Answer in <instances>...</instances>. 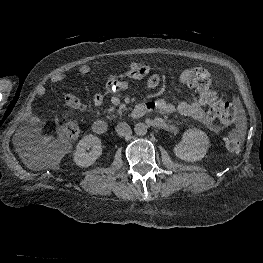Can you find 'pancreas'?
Returning a JSON list of instances; mask_svg holds the SVG:
<instances>
[{
	"instance_id": "cf45deb5",
	"label": "pancreas",
	"mask_w": 263,
	"mask_h": 263,
	"mask_svg": "<svg viewBox=\"0 0 263 263\" xmlns=\"http://www.w3.org/2000/svg\"><path fill=\"white\" fill-rule=\"evenodd\" d=\"M107 111H108V112H113V111H114V107H110ZM120 112H121V111L118 110V113H120ZM113 117H116V116L114 115Z\"/></svg>"
}]
</instances>
